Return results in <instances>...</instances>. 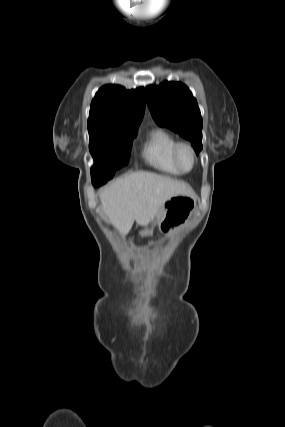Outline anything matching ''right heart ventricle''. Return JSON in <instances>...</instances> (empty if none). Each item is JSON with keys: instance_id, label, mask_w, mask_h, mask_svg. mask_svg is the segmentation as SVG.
I'll return each mask as SVG.
<instances>
[{"instance_id": "right-heart-ventricle-1", "label": "right heart ventricle", "mask_w": 285, "mask_h": 427, "mask_svg": "<svg viewBox=\"0 0 285 427\" xmlns=\"http://www.w3.org/2000/svg\"><path fill=\"white\" fill-rule=\"evenodd\" d=\"M177 143V138L169 131L153 129L143 145L142 157L149 166L161 173L180 175L182 173L172 160V152Z\"/></svg>"}]
</instances>
